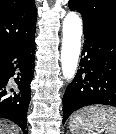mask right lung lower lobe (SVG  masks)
<instances>
[{"label": "right lung lower lobe", "mask_w": 116, "mask_h": 134, "mask_svg": "<svg viewBox=\"0 0 116 134\" xmlns=\"http://www.w3.org/2000/svg\"><path fill=\"white\" fill-rule=\"evenodd\" d=\"M35 35L26 42L0 55V118L15 122L27 134V111L30 103V83L33 75ZM18 71L15 85L11 77Z\"/></svg>", "instance_id": "obj_1"}]
</instances>
